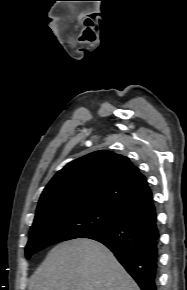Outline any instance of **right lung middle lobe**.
<instances>
[{
    "label": "right lung middle lobe",
    "instance_id": "obj_1",
    "mask_svg": "<svg viewBox=\"0 0 187 290\" xmlns=\"http://www.w3.org/2000/svg\"><path fill=\"white\" fill-rule=\"evenodd\" d=\"M127 219L112 208L92 205L55 212L34 220L26 258L50 245L113 228Z\"/></svg>",
    "mask_w": 187,
    "mask_h": 290
}]
</instances>
